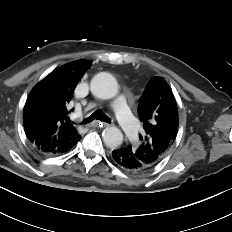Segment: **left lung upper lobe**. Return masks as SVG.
Wrapping results in <instances>:
<instances>
[{"label":"left lung upper lobe","mask_w":232,"mask_h":232,"mask_svg":"<svg viewBox=\"0 0 232 232\" xmlns=\"http://www.w3.org/2000/svg\"><path fill=\"white\" fill-rule=\"evenodd\" d=\"M145 130L140 145L132 148L149 169L156 166L174 143L179 125L178 108L171 88L162 77L152 78L138 105Z\"/></svg>","instance_id":"1"}]
</instances>
